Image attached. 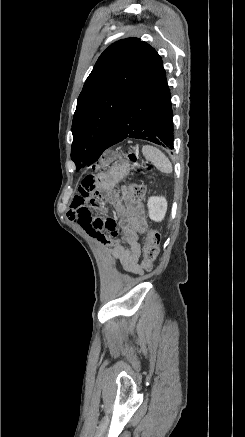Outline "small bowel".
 <instances>
[{"mask_svg": "<svg viewBox=\"0 0 245 437\" xmlns=\"http://www.w3.org/2000/svg\"><path fill=\"white\" fill-rule=\"evenodd\" d=\"M101 155V159L97 162L98 166H94L80 183V194L73 198L68 215L89 236L110 248L113 258L125 270L138 274L140 273L138 263L141 256L139 235L144 233L147 225L142 204L133 202L125 190L121 199L114 198L108 191L102 194L105 200L114 205L117 216L123 219V226L119 232L115 219L107 218L102 222L101 219L94 218L90 214L92 208L101 207V197H91L89 203H86V198L92 192H96L97 186L94 180L97 179L98 175L103 174L110 163H113L116 154L114 150H103ZM103 224L110 235L102 233Z\"/></svg>", "mask_w": 245, "mask_h": 437, "instance_id": "small-bowel-1", "label": "small bowel"}]
</instances>
